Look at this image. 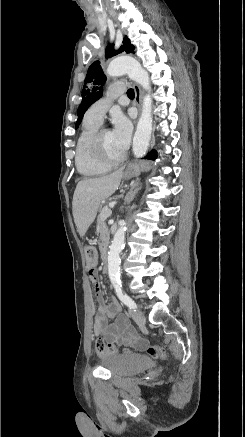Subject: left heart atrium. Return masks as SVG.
<instances>
[{
    "label": "left heart atrium",
    "instance_id": "left-heart-atrium-1",
    "mask_svg": "<svg viewBox=\"0 0 245 437\" xmlns=\"http://www.w3.org/2000/svg\"><path fill=\"white\" fill-rule=\"evenodd\" d=\"M112 136L117 148L123 153L127 150L131 140L132 125L129 119L121 114L116 113L113 116Z\"/></svg>",
    "mask_w": 245,
    "mask_h": 437
}]
</instances>
